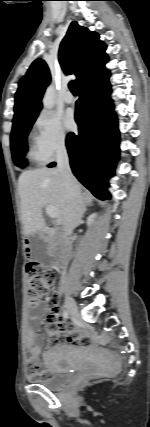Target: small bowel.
I'll return each instance as SVG.
<instances>
[{
  "label": "small bowel",
  "mask_w": 150,
  "mask_h": 427,
  "mask_svg": "<svg viewBox=\"0 0 150 427\" xmlns=\"http://www.w3.org/2000/svg\"><path fill=\"white\" fill-rule=\"evenodd\" d=\"M45 302H34L30 306L28 316V326L26 332V347L29 354L27 359L28 377L31 379L44 378L45 371L38 370L37 359L41 354L44 338L36 331L37 327L43 322L44 316L48 314L49 321L55 326L49 330L48 343L64 341L75 346H86L89 344V338L78 334V331L68 326L60 319V310L57 307L49 308Z\"/></svg>",
  "instance_id": "c3829d8e"
}]
</instances>
